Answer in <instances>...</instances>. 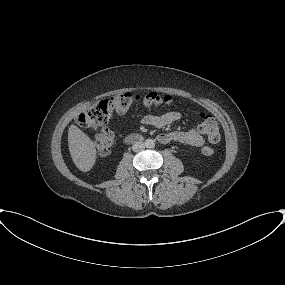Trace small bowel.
<instances>
[{
    "label": "small bowel",
    "mask_w": 285,
    "mask_h": 285,
    "mask_svg": "<svg viewBox=\"0 0 285 285\" xmlns=\"http://www.w3.org/2000/svg\"><path fill=\"white\" fill-rule=\"evenodd\" d=\"M180 119L181 114L172 111L163 115H146L141 119V123L156 128H163ZM158 140L161 143L178 142L194 147H200L205 143L203 132L195 127H191L186 131H172L160 134Z\"/></svg>",
    "instance_id": "obj_1"
}]
</instances>
